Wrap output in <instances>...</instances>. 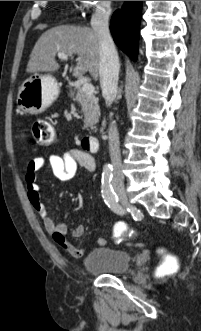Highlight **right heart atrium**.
Returning <instances> with one entry per match:
<instances>
[{"label":"right heart atrium","mask_w":201,"mask_h":331,"mask_svg":"<svg viewBox=\"0 0 201 331\" xmlns=\"http://www.w3.org/2000/svg\"><path fill=\"white\" fill-rule=\"evenodd\" d=\"M79 6L86 19H102L109 15L111 1H79Z\"/></svg>","instance_id":"1"}]
</instances>
